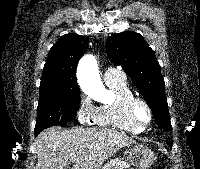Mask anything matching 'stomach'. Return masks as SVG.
<instances>
[{"label": "stomach", "mask_w": 200, "mask_h": 169, "mask_svg": "<svg viewBox=\"0 0 200 169\" xmlns=\"http://www.w3.org/2000/svg\"><path fill=\"white\" fill-rule=\"evenodd\" d=\"M154 152L143 145H134L128 148V161L136 169H148L155 160Z\"/></svg>", "instance_id": "0dacf381"}]
</instances>
